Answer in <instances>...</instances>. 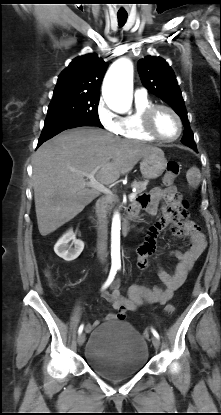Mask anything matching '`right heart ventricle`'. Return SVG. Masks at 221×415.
Returning a JSON list of instances; mask_svg holds the SVG:
<instances>
[{
  "mask_svg": "<svg viewBox=\"0 0 221 415\" xmlns=\"http://www.w3.org/2000/svg\"><path fill=\"white\" fill-rule=\"evenodd\" d=\"M153 103L147 97H135V111L122 117L121 130L119 135L128 139H136L141 141H153V137L149 136L142 126V114L144 110Z\"/></svg>",
  "mask_w": 221,
  "mask_h": 415,
  "instance_id": "1",
  "label": "right heart ventricle"
}]
</instances>
